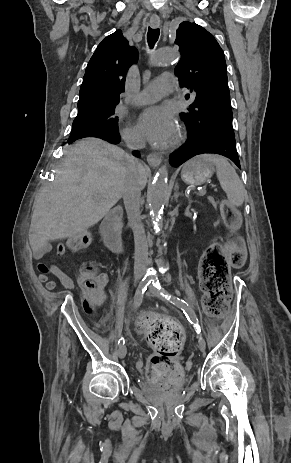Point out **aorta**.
<instances>
[{
  "mask_svg": "<svg viewBox=\"0 0 291 463\" xmlns=\"http://www.w3.org/2000/svg\"><path fill=\"white\" fill-rule=\"evenodd\" d=\"M179 57V52L174 48H161L157 50L151 58L149 64L154 67L168 65L174 62ZM168 197V170L164 165L159 170V173L154 178L152 186L148 192V202L150 207V215L154 228L162 227V214L164 204Z\"/></svg>",
  "mask_w": 291,
  "mask_h": 463,
  "instance_id": "1",
  "label": "aorta"
}]
</instances>
